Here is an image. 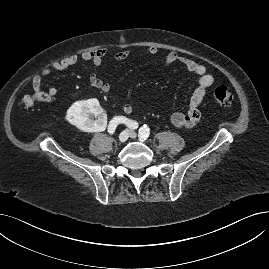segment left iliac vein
Instances as JSON below:
<instances>
[{"mask_svg":"<svg viewBox=\"0 0 269 269\" xmlns=\"http://www.w3.org/2000/svg\"><path fill=\"white\" fill-rule=\"evenodd\" d=\"M129 136L133 139H135L137 137V133L135 131H130L129 132Z\"/></svg>","mask_w":269,"mask_h":269,"instance_id":"1","label":"left iliac vein"}]
</instances>
